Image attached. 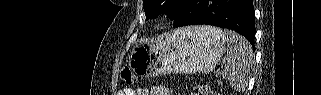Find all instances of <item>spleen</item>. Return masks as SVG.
Here are the masks:
<instances>
[{"label":"spleen","mask_w":321,"mask_h":95,"mask_svg":"<svg viewBox=\"0 0 321 95\" xmlns=\"http://www.w3.org/2000/svg\"><path fill=\"white\" fill-rule=\"evenodd\" d=\"M201 31L223 42L224 51L227 54L223 77L234 89H244L254 64V54L249 42L244 37L228 30L222 32L218 28L202 26Z\"/></svg>","instance_id":"3e777b00"}]
</instances>
